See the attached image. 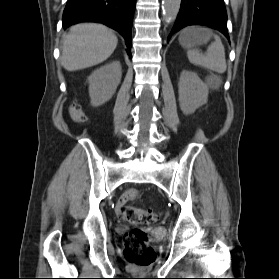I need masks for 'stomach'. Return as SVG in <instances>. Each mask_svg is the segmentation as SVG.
Instances as JSON below:
<instances>
[{
    "mask_svg": "<svg viewBox=\"0 0 279 279\" xmlns=\"http://www.w3.org/2000/svg\"><path fill=\"white\" fill-rule=\"evenodd\" d=\"M210 37L211 33L209 30L191 27L181 32L179 42L183 47L191 48L207 43Z\"/></svg>",
    "mask_w": 279,
    "mask_h": 279,
    "instance_id": "0dacf381",
    "label": "stomach"
}]
</instances>
